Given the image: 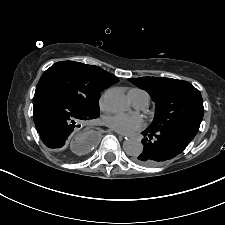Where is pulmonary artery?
I'll list each match as a JSON object with an SVG mask.
<instances>
[{"label": "pulmonary artery", "mask_w": 225, "mask_h": 225, "mask_svg": "<svg viewBox=\"0 0 225 225\" xmlns=\"http://www.w3.org/2000/svg\"><path fill=\"white\" fill-rule=\"evenodd\" d=\"M128 96L133 105L138 109H144L149 104V95L140 89L130 90Z\"/></svg>", "instance_id": "pulmonary-artery-1"}]
</instances>
